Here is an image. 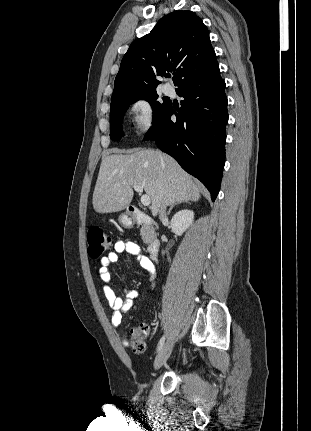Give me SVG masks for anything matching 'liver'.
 <instances>
[{
	"instance_id": "obj_1",
	"label": "liver",
	"mask_w": 311,
	"mask_h": 431,
	"mask_svg": "<svg viewBox=\"0 0 311 431\" xmlns=\"http://www.w3.org/2000/svg\"><path fill=\"white\" fill-rule=\"evenodd\" d=\"M103 158L95 184L92 206L97 214L122 212L130 206L133 186H141L151 200V214L162 204L198 202L200 188L194 178L160 150H113ZM120 184V186H117Z\"/></svg>"
}]
</instances>
